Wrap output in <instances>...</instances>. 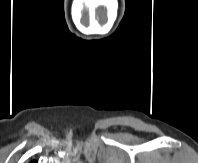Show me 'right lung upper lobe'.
Wrapping results in <instances>:
<instances>
[{
    "instance_id": "1",
    "label": "right lung upper lobe",
    "mask_w": 198,
    "mask_h": 163,
    "mask_svg": "<svg viewBox=\"0 0 198 163\" xmlns=\"http://www.w3.org/2000/svg\"><path fill=\"white\" fill-rule=\"evenodd\" d=\"M30 163H37L36 161H31Z\"/></svg>"
}]
</instances>
